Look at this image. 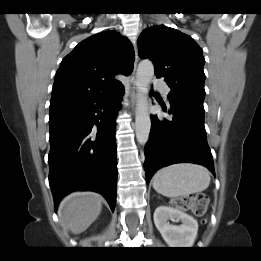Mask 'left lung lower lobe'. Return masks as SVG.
Listing matches in <instances>:
<instances>
[{
    "label": "left lung lower lobe",
    "mask_w": 261,
    "mask_h": 261,
    "mask_svg": "<svg viewBox=\"0 0 261 261\" xmlns=\"http://www.w3.org/2000/svg\"><path fill=\"white\" fill-rule=\"evenodd\" d=\"M170 101L171 120L151 116V131L145 146L146 183L162 167L182 162L204 165L214 173L211 150L204 127V107L190 99ZM166 111V107L163 108Z\"/></svg>",
    "instance_id": "0a47b994"
}]
</instances>
